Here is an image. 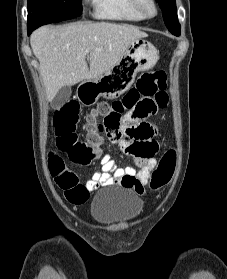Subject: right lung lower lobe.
<instances>
[{"instance_id": "1", "label": "right lung lower lobe", "mask_w": 227, "mask_h": 279, "mask_svg": "<svg viewBox=\"0 0 227 279\" xmlns=\"http://www.w3.org/2000/svg\"><path fill=\"white\" fill-rule=\"evenodd\" d=\"M44 24H45V22H38L36 24L27 25L28 35H30L33 30H35L36 28H38L39 26L44 25ZM46 24H48V23H46Z\"/></svg>"}]
</instances>
